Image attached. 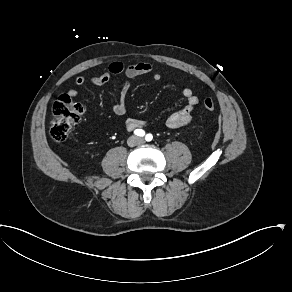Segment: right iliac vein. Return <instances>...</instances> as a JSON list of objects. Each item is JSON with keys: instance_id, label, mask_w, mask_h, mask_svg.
Listing matches in <instances>:
<instances>
[{"instance_id": "obj_1", "label": "right iliac vein", "mask_w": 292, "mask_h": 292, "mask_svg": "<svg viewBox=\"0 0 292 292\" xmlns=\"http://www.w3.org/2000/svg\"><path fill=\"white\" fill-rule=\"evenodd\" d=\"M135 143H136V139H135V138H131V139H129V141H128V144H129L130 146H134Z\"/></svg>"}]
</instances>
